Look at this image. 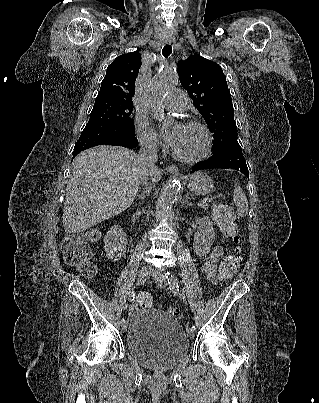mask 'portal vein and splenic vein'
I'll return each instance as SVG.
<instances>
[{
    "label": "portal vein and splenic vein",
    "mask_w": 319,
    "mask_h": 403,
    "mask_svg": "<svg viewBox=\"0 0 319 403\" xmlns=\"http://www.w3.org/2000/svg\"><path fill=\"white\" fill-rule=\"evenodd\" d=\"M214 198L210 197V198H204L200 203H198V206L204 205L207 201H213Z\"/></svg>",
    "instance_id": "18ae733b"
}]
</instances>
